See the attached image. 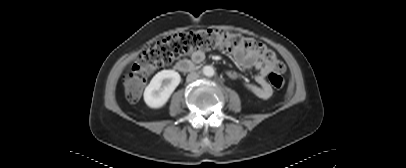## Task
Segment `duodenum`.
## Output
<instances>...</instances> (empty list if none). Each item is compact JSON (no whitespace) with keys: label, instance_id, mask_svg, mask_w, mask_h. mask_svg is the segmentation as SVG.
Returning a JSON list of instances; mask_svg holds the SVG:
<instances>
[{"label":"duodenum","instance_id":"1","mask_svg":"<svg viewBox=\"0 0 406 168\" xmlns=\"http://www.w3.org/2000/svg\"><path fill=\"white\" fill-rule=\"evenodd\" d=\"M193 62L187 60L180 61L176 64V69L180 72H191L196 66Z\"/></svg>","mask_w":406,"mask_h":168}]
</instances>
